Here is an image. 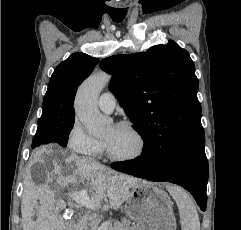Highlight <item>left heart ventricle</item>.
<instances>
[{
    "mask_svg": "<svg viewBox=\"0 0 241 230\" xmlns=\"http://www.w3.org/2000/svg\"><path fill=\"white\" fill-rule=\"evenodd\" d=\"M112 153L125 157L134 154L138 149V141L135 135L126 127L112 125L103 137Z\"/></svg>",
    "mask_w": 241,
    "mask_h": 230,
    "instance_id": "obj_1",
    "label": "left heart ventricle"
}]
</instances>
